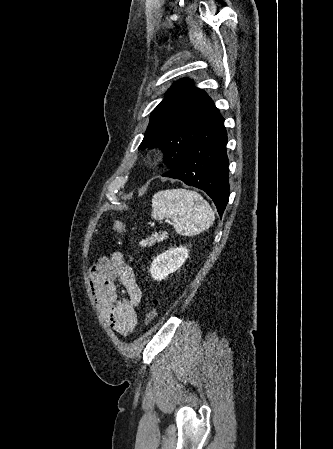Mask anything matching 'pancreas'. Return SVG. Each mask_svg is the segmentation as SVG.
Here are the masks:
<instances>
[{
  "label": "pancreas",
  "instance_id": "obj_1",
  "mask_svg": "<svg viewBox=\"0 0 333 449\" xmlns=\"http://www.w3.org/2000/svg\"><path fill=\"white\" fill-rule=\"evenodd\" d=\"M167 232H161V233H155L152 234L150 237L146 238L142 241V246H153L156 242H161L163 239L167 238Z\"/></svg>",
  "mask_w": 333,
  "mask_h": 449
}]
</instances>
